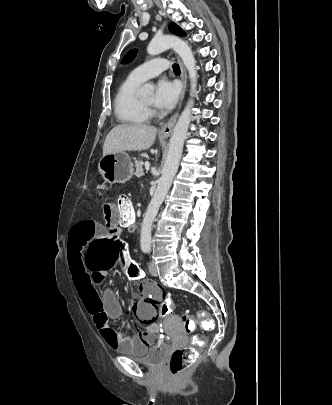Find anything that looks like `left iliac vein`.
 <instances>
[{"instance_id": "left-iliac-vein-1", "label": "left iliac vein", "mask_w": 332, "mask_h": 405, "mask_svg": "<svg viewBox=\"0 0 332 405\" xmlns=\"http://www.w3.org/2000/svg\"><path fill=\"white\" fill-rule=\"evenodd\" d=\"M149 272H150V274L153 275V276H157V275H158V269H157V267H156V265H155V263H154L153 260H151L150 263H149Z\"/></svg>"}]
</instances>
